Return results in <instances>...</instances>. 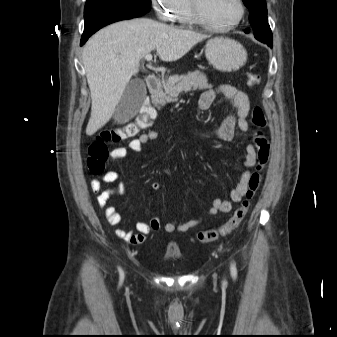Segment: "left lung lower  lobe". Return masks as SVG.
I'll list each match as a JSON object with an SVG mask.
<instances>
[{"instance_id":"left-lung-lower-lobe-1","label":"left lung lower lobe","mask_w":337,"mask_h":337,"mask_svg":"<svg viewBox=\"0 0 337 337\" xmlns=\"http://www.w3.org/2000/svg\"><path fill=\"white\" fill-rule=\"evenodd\" d=\"M264 43L268 44V46L272 48V42H264Z\"/></svg>"}]
</instances>
